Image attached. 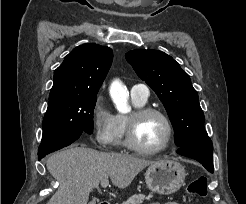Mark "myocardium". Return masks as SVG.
Masks as SVG:
<instances>
[{"instance_id":"f54148a6","label":"myocardium","mask_w":246,"mask_h":204,"mask_svg":"<svg viewBox=\"0 0 246 204\" xmlns=\"http://www.w3.org/2000/svg\"><path fill=\"white\" fill-rule=\"evenodd\" d=\"M150 115H157L161 117L167 126V136L164 143L161 146L153 149H149L141 146L138 143L136 137L139 122L143 118ZM173 137H174V127L172 121L169 118V116L165 112L161 111L160 109L153 108V107H141V108H137L130 115L127 116L125 145L129 149L137 153L144 154V155H155L160 152H163L170 146Z\"/></svg>"}]
</instances>
